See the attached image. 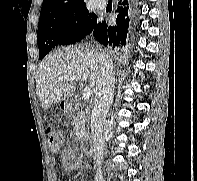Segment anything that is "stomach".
I'll return each instance as SVG.
<instances>
[{
	"instance_id": "1",
	"label": "stomach",
	"mask_w": 197,
	"mask_h": 181,
	"mask_svg": "<svg viewBox=\"0 0 197 181\" xmlns=\"http://www.w3.org/2000/svg\"><path fill=\"white\" fill-rule=\"evenodd\" d=\"M61 107H62L63 109L68 108V107H69V102H68V100H63V101L61 102Z\"/></svg>"
}]
</instances>
